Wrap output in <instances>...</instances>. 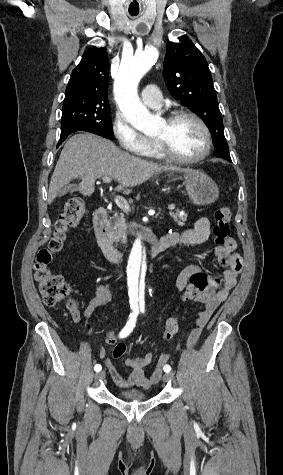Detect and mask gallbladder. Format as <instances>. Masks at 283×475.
Masks as SVG:
<instances>
[{"label": "gallbladder", "mask_w": 283, "mask_h": 475, "mask_svg": "<svg viewBox=\"0 0 283 475\" xmlns=\"http://www.w3.org/2000/svg\"><path fill=\"white\" fill-rule=\"evenodd\" d=\"M67 192H77V186H75V184H67V186L61 190L60 194L64 196Z\"/></svg>", "instance_id": "1"}]
</instances>
